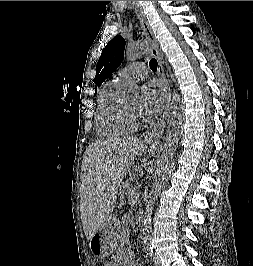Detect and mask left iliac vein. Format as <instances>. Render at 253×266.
<instances>
[{
	"mask_svg": "<svg viewBox=\"0 0 253 266\" xmlns=\"http://www.w3.org/2000/svg\"><path fill=\"white\" fill-rule=\"evenodd\" d=\"M155 263H156V266H161V261L158 255H155Z\"/></svg>",
	"mask_w": 253,
	"mask_h": 266,
	"instance_id": "left-iliac-vein-1",
	"label": "left iliac vein"
}]
</instances>
